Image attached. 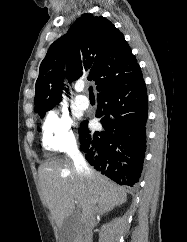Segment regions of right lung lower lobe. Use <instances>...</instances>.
<instances>
[{"instance_id": "obj_1", "label": "right lung lower lobe", "mask_w": 187, "mask_h": 242, "mask_svg": "<svg viewBox=\"0 0 187 242\" xmlns=\"http://www.w3.org/2000/svg\"><path fill=\"white\" fill-rule=\"evenodd\" d=\"M96 117L104 131L79 128L81 150L94 168L120 185L133 186L146 150L147 90L142 75L97 95Z\"/></svg>"}]
</instances>
